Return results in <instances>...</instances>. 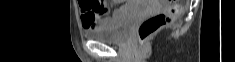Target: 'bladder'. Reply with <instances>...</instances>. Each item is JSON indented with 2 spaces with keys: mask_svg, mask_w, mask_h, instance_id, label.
Returning <instances> with one entry per match:
<instances>
[{
  "mask_svg": "<svg viewBox=\"0 0 235 62\" xmlns=\"http://www.w3.org/2000/svg\"><path fill=\"white\" fill-rule=\"evenodd\" d=\"M139 17V6L136 3H129L118 10L114 17L103 23L101 26L88 30L86 36L89 39L104 43H120L124 41L129 30Z\"/></svg>",
  "mask_w": 235,
  "mask_h": 62,
  "instance_id": "31cf9c89",
  "label": "bladder"
}]
</instances>
